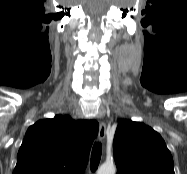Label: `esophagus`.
<instances>
[{
	"label": "esophagus",
	"instance_id": "esophagus-1",
	"mask_svg": "<svg viewBox=\"0 0 187 174\" xmlns=\"http://www.w3.org/2000/svg\"><path fill=\"white\" fill-rule=\"evenodd\" d=\"M106 136V125L103 122L99 124L98 138L100 141H103Z\"/></svg>",
	"mask_w": 187,
	"mask_h": 174
}]
</instances>
